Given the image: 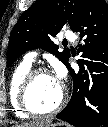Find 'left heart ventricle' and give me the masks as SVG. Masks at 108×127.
<instances>
[{
    "label": "left heart ventricle",
    "instance_id": "b2bd125f",
    "mask_svg": "<svg viewBox=\"0 0 108 127\" xmlns=\"http://www.w3.org/2000/svg\"><path fill=\"white\" fill-rule=\"evenodd\" d=\"M62 85H60L53 75L40 74L33 82L30 101L31 104L40 111L52 109L60 99Z\"/></svg>",
    "mask_w": 108,
    "mask_h": 127
}]
</instances>
